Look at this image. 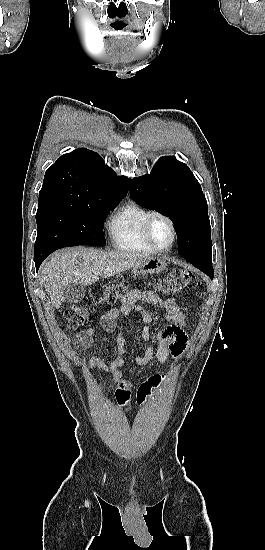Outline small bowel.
Masks as SVG:
<instances>
[{
	"label": "small bowel",
	"instance_id": "c3829d8e",
	"mask_svg": "<svg viewBox=\"0 0 265 550\" xmlns=\"http://www.w3.org/2000/svg\"><path fill=\"white\" fill-rule=\"evenodd\" d=\"M139 302L159 304L165 309V319L173 323V325L164 328L157 334L158 346L156 349L148 344L149 326L152 323V317L139 305ZM131 312L139 313L143 321L140 338L144 344V349L143 353L137 355L134 359L137 365H147L153 358H156L164 367L170 358L177 360L182 357L187 342L185 332L187 319L174 299H161L151 291L131 290L123 298L118 307L106 312L102 316L104 329L112 332L119 315ZM95 333V328L91 327L76 335L73 338L74 346L78 350H86L91 345ZM115 342L117 353L110 363L105 362L99 357H91L88 364L91 368H97L112 375V379L117 385L116 398L124 406L129 401L131 384L128 380L123 379L126 343L122 331L116 334ZM102 392L103 390H101Z\"/></svg>",
	"mask_w": 265,
	"mask_h": 550
}]
</instances>
